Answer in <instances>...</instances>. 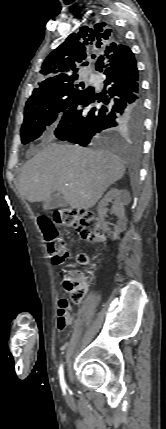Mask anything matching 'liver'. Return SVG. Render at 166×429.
Returning a JSON list of instances; mask_svg holds the SVG:
<instances>
[{"instance_id": "6515ba94", "label": "liver", "mask_w": 166, "mask_h": 429, "mask_svg": "<svg viewBox=\"0 0 166 429\" xmlns=\"http://www.w3.org/2000/svg\"><path fill=\"white\" fill-rule=\"evenodd\" d=\"M124 173L123 161L107 150L52 144L24 165L18 190L31 203L57 191L72 208L89 209Z\"/></svg>"}]
</instances>
